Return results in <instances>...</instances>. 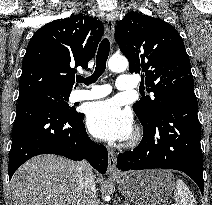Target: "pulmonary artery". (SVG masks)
<instances>
[{
  "mask_svg": "<svg viewBox=\"0 0 212 205\" xmlns=\"http://www.w3.org/2000/svg\"><path fill=\"white\" fill-rule=\"evenodd\" d=\"M138 83L136 79L127 74H121L116 81V87L119 90H133L136 89ZM112 88L108 84L96 85L90 84L88 89H79L73 93L74 101L92 100L105 97L111 92Z\"/></svg>",
  "mask_w": 212,
  "mask_h": 205,
  "instance_id": "1",
  "label": "pulmonary artery"
}]
</instances>
